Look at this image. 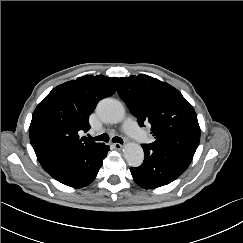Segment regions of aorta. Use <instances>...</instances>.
Masks as SVG:
<instances>
[{"label":"aorta","mask_w":243,"mask_h":243,"mask_svg":"<svg viewBox=\"0 0 243 243\" xmlns=\"http://www.w3.org/2000/svg\"><path fill=\"white\" fill-rule=\"evenodd\" d=\"M99 117L108 123L121 122L125 117V108L116 99L106 98L101 100L97 106ZM124 158L129 166L139 167L144 160L142 147L137 143H128L124 147Z\"/></svg>","instance_id":"762f6f07"}]
</instances>
